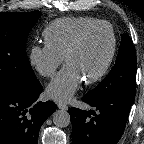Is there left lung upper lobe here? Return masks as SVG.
<instances>
[{
	"mask_svg": "<svg viewBox=\"0 0 144 144\" xmlns=\"http://www.w3.org/2000/svg\"><path fill=\"white\" fill-rule=\"evenodd\" d=\"M136 51L132 39L122 34L115 66L106 78L87 94L99 96L107 93L124 94L135 97Z\"/></svg>",
	"mask_w": 144,
	"mask_h": 144,
	"instance_id": "left-lung-upper-lobe-1",
	"label": "left lung upper lobe"
}]
</instances>
